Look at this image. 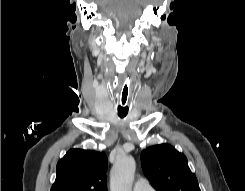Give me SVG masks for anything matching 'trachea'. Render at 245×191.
<instances>
[{
    "instance_id": "obj_1",
    "label": "trachea",
    "mask_w": 245,
    "mask_h": 191,
    "mask_svg": "<svg viewBox=\"0 0 245 191\" xmlns=\"http://www.w3.org/2000/svg\"><path fill=\"white\" fill-rule=\"evenodd\" d=\"M130 79L127 77L122 85L120 96H119V104H118V116L120 118L126 117L129 112L130 104H129V95H130Z\"/></svg>"
}]
</instances>
